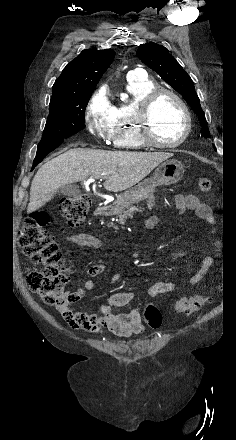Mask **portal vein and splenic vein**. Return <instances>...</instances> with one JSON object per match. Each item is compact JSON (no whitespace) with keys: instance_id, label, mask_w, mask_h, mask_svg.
Here are the masks:
<instances>
[{"instance_id":"portal-vein-and-splenic-vein-1","label":"portal vein and splenic vein","mask_w":236,"mask_h":440,"mask_svg":"<svg viewBox=\"0 0 236 440\" xmlns=\"http://www.w3.org/2000/svg\"><path fill=\"white\" fill-rule=\"evenodd\" d=\"M94 181H95V179L92 177L88 180V182H94Z\"/></svg>"}]
</instances>
